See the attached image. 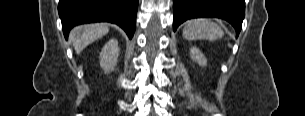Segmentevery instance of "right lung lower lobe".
<instances>
[{
	"label": "right lung lower lobe",
	"mask_w": 305,
	"mask_h": 116,
	"mask_svg": "<svg viewBox=\"0 0 305 116\" xmlns=\"http://www.w3.org/2000/svg\"><path fill=\"white\" fill-rule=\"evenodd\" d=\"M138 0H60L58 12L65 38L72 27L87 22H111L132 38Z\"/></svg>",
	"instance_id": "right-lung-lower-lobe-1"
}]
</instances>
